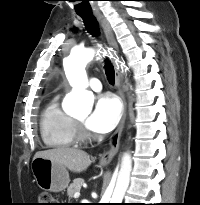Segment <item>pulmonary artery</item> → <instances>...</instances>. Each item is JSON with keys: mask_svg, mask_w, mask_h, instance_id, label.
Instances as JSON below:
<instances>
[{"mask_svg": "<svg viewBox=\"0 0 200 205\" xmlns=\"http://www.w3.org/2000/svg\"><path fill=\"white\" fill-rule=\"evenodd\" d=\"M89 86L90 88L95 91V92H99L101 91L102 89V85H101V82L99 81V79L97 78H92L90 81H89Z\"/></svg>", "mask_w": 200, "mask_h": 205, "instance_id": "pulmonary-artery-1", "label": "pulmonary artery"}]
</instances>
